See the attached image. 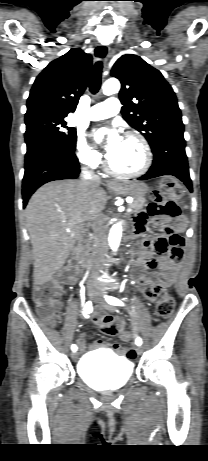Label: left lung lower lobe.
Here are the masks:
<instances>
[{
  "label": "left lung lower lobe",
  "mask_w": 208,
  "mask_h": 461,
  "mask_svg": "<svg viewBox=\"0 0 208 461\" xmlns=\"http://www.w3.org/2000/svg\"><path fill=\"white\" fill-rule=\"evenodd\" d=\"M153 165L149 171L138 178L147 180L163 175H173L183 181L192 192L188 161L185 153V140H168L153 151Z\"/></svg>",
  "instance_id": "0a47b994"
}]
</instances>
